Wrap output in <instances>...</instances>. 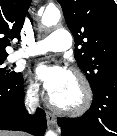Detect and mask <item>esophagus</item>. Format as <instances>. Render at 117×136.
<instances>
[{"label": "esophagus", "instance_id": "obj_1", "mask_svg": "<svg viewBox=\"0 0 117 136\" xmlns=\"http://www.w3.org/2000/svg\"><path fill=\"white\" fill-rule=\"evenodd\" d=\"M47 123L49 126H53L55 123V115L49 111L46 112Z\"/></svg>", "mask_w": 117, "mask_h": 136}]
</instances>
